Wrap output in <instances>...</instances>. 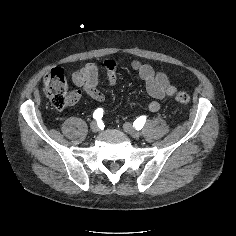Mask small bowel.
I'll use <instances>...</instances> for the list:
<instances>
[{"instance_id":"small-bowel-1","label":"small bowel","mask_w":236,"mask_h":236,"mask_svg":"<svg viewBox=\"0 0 236 236\" xmlns=\"http://www.w3.org/2000/svg\"><path fill=\"white\" fill-rule=\"evenodd\" d=\"M105 66L109 70L108 84L114 86L116 83V63L113 60L105 61ZM130 66L135 70L139 77L145 82L147 93L154 99L148 105L151 112H157L160 109L159 100L174 95L176 89L171 84L167 75L163 72L154 70L148 64L138 60H132ZM99 70L96 64L87 63L81 69L72 74V82L80 88L70 94L69 104L73 105L78 102L82 93L97 102L105 100L104 94L98 89Z\"/></svg>"}]
</instances>
